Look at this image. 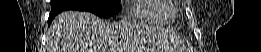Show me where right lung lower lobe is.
<instances>
[{"instance_id": "1", "label": "right lung lower lobe", "mask_w": 261, "mask_h": 52, "mask_svg": "<svg viewBox=\"0 0 261 52\" xmlns=\"http://www.w3.org/2000/svg\"><path fill=\"white\" fill-rule=\"evenodd\" d=\"M60 11H51L50 12V15H49V18H48V25L51 24L53 18L59 13Z\"/></svg>"}]
</instances>
